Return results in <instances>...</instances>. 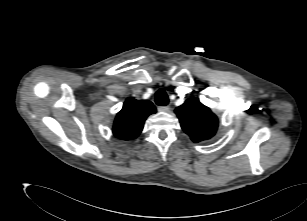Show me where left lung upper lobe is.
Masks as SVG:
<instances>
[{"label": "left lung upper lobe", "instance_id": "left-lung-upper-lobe-1", "mask_svg": "<svg viewBox=\"0 0 307 221\" xmlns=\"http://www.w3.org/2000/svg\"><path fill=\"white\" fill-rule=\"evenodd\" d=\"M175 113L183 131L196 143L210 139L217 131V116L197 100H186L175 109Z\"/></svg>", "mask_w": 307, "mask_h": 221}]
</instances>
